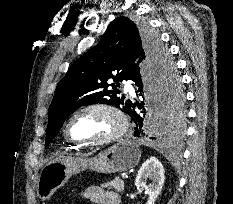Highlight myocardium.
<instances>
[{"instance_id":"myocardium-1","label":"myocardium","mask_w":233,"mask_h":204,"mask_svg":"<svg viewBox=\"0 0 233 204\" xmlns=\"http://www.w3.org/2000/svg\"><path fill=\"white\" fill-rule=\"evenodd\" d=\"M91 111H102L112 116L116 122L115 130L108 136L99 140L89 141V140L75 139L74 137L71 136L69 131L71 122L77 116ZM128 126H129L128 119L124 114V112L119 107L107 102H95L78 108L67 118L64 125V135L69 141L81 146H104L120 139L127 132Z\"/></svg>"}]
</instances>
